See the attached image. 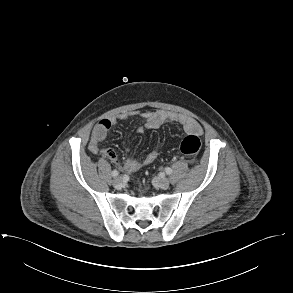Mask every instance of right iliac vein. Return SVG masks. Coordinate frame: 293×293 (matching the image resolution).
<instances>
[{"label":"right iliac vein","mask_w":293,"mask_h":293,"mask_svg":"<svg viewBox=\"0 0 293 293\" xmlns=\"http://www.w3.org/2000/svg\"><path fill=\"white\" fill-rule=\"evenodd\" d=\"M122 178L121 177H116L114 180H113V185L115 187H120L122 185Z\"/></svg>","instance_id":"1"}]
</instances>
